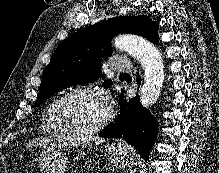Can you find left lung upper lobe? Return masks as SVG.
Segmentation results:
<instances>
[{
    "instance_id": "left-lung-upper-lobe-1",
    "label": "left lung upper lobe",
    "mask_w": 219,
    "mask_h": 173,
    "mask_svg": "<svg viewBox=\"0 0 219 173\" xmlns=\"http://www.w3.org/2000/svg\"><path fill=\"white\" fill-rule=\"evenodd\" d=\"M158 23L147 16L116 17L103 20L78 31L62 42L44 70L39 94L33 107L64 88L78 83L96 81L102 74V58L109 55L112 38L119 33H131L143 36L156 43ZM111 80L103 83L110 87Z\"/></svg>"
}]
</instances>
